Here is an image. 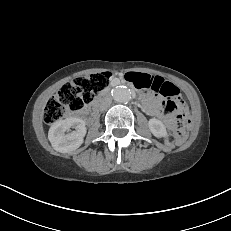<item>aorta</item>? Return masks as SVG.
I'll use <instances>...</instances> for the list:
<instances>
[{
  "label": "aorta",
  "instance_id": "762f6f07",
  "mask_svg": "<svg viewBox=\"0 0 231 231\" xmlns=\"http://www.w3.org/2000/svg\"><path fill=\"white\" fill-rule=\"evenodd\" d=\"M112 97L116 102L127 103L131 100V91L124 86H117L112 90Z\"/></svg>",
  "mask_w": 231,
  "mask_h": 231
}]
</instances>
